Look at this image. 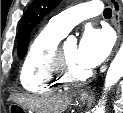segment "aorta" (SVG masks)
Returning <instances> with one entry per match:
<instances>
[{
  "label": "aorta",
  "mask_w": 123,
  "mask_h": 113,
  "mask_svg": "<svg viewBox=\"0 0 123 113\" xmlns=\"http://www.w3.org/2000/svg\"><path fill=\"white\" fill-rule=\"evenodd\" d=\"M121 77H123V42L107 71L104 90L110 89V87L117 83ZM104 103V100L102 102L100 101L99 106L96 107L95 113H105Z\"/></svg>",
  "instance_id": "762f6f07"
}]
</instances>
